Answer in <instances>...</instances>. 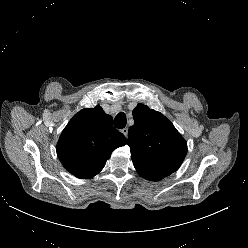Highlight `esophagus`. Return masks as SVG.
I'll use <instances>...</instances> for the list:
<instances>
[{
  "label": "esophagus",
  "instance_id": "34e87169",
  "mask_svg": "<svg viewBox=\"0 0 248 248\" xmlns=\"http://www.w3.org/2000/svg\"><path fill=\"white\" fill-rule=\"evenodd\" d=\"M121 132L127 137V135H128V128L127 127L123 128L121 130Z\"/></svg>",
  "mask_w": 248,
  "mask_h": 248
}]
</instances>
